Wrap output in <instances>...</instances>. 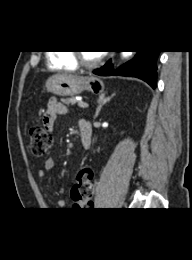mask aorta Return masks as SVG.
Returning a JSON list of instances; mask_svg holds the SVG:
<instances>
[{
  "mask_svg": "<svg viewBox=\"0 0 192 260\" xmlns=\"http://www.w3.org/2000/svg\"><path fill=\"white\" fill-rule=\"evenodd\" d=\"M132 53H133L132 51H123L122 52V57L127 58V57L131 56Z\"/></svg>",
  "mask_w": 192,
  "mask_h": 260,
  "instance_id": "762f6f07",
  "label": "aorta"
}]
</instances>
